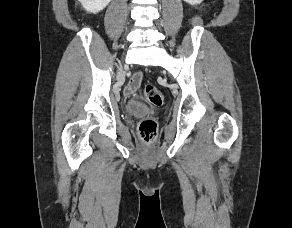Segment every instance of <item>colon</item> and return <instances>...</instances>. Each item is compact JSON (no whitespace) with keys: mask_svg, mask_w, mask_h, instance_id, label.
I'll return each mask as SVG.
<instances>
[{"mask_svg":"<svg viewBox=\"0 0 292 228\" xmlns=\"http://www.w3.org/2000/svg\"><path fill=\"white\" fill-rule=\"evenodd\" d=\"M144 98L153 105L160 106L164 102L163 94L154 86L147 85L143 90ZM158 123L152 117L144 118L139 123V133L146 144H152L157 137Z\"/></svg>","mask_w":292,"mask_h":228,"instance_id":"colon-1","label":"colon"}]
</instances>
